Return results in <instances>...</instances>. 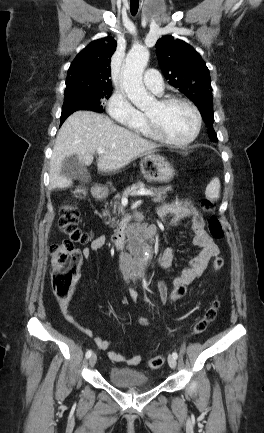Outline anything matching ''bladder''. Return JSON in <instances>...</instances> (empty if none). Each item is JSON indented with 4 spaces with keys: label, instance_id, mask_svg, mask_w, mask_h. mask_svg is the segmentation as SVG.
<instances>
[{
    "label": "bladder",
    "instance_id": "bladder-1",
    "mask_svg": "<svg viewBox=\"0 0 264 433\" xmlns=\"http://www.w3.org/2000/svg\"><path fill=\"white\" fill-rule=\"evenodd\" d=\"M109 381L118 387L127 389L151 388L149 376L141 371L112 367L108 372Z\"/></svg>",
    "mask_w": 264,
    "mask_h": 433
}]
</instances>
